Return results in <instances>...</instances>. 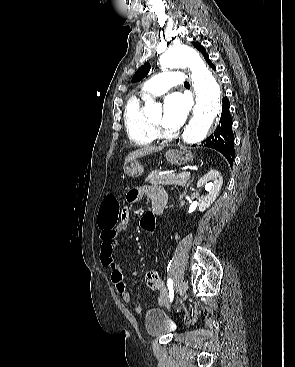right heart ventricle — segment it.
<instances>
[{
    "label": "right heart ventricle",
    "instance_id": "e07e8e85",
    "mask_svg": "<svg viewBox=\"0 0 295 367\" xmlns=\"http://www.w3.org/2000/svg\"><path fill=\"white\" fill-rule=\"evenodd\" d=\"M124 125L129 139L138 146H148L154 143L157 134L149 125L143 113L142 103L138 99H131L124 109Z\"/></svg>",
    "mask_w": 295,
    "mask_h": 367
}]
</instances>
